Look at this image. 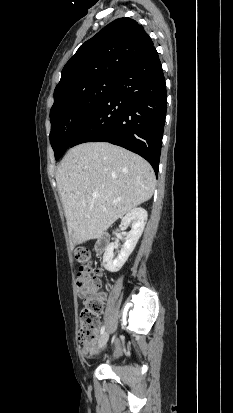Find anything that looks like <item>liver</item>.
<instances>
[{"label": "liver", "mask_w": 233, "mask_h": 413, "mask_svg": "<svg viewBox=\"0 0 233 413\" xmlns=\"http://www.w3.org/2000/svg\"><path fill=\"white\" fill-rule=\"evenodd\" d=\"M56 181L73 247L101 237L118 218L148 201L155 189L151 165L108 142L71 148ZM94 192L99 194L96 199Z\"/></svg>", "instance_id": "liver-1"}]
</instances>
